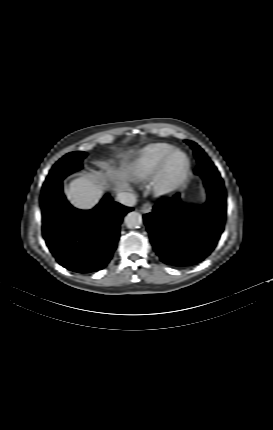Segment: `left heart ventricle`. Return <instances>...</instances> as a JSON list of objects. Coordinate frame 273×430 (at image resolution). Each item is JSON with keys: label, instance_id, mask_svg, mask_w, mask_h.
Masks as SVG:
<instances>
[{"label": "left heart ventricle", "instance_id": "obj_1", "mask_svg": "<svg viewBox=\"0 0 273 430\" xmlns=\"http://www.w3.org/2000/svg\"><path fill=\"white\" fill-rule=\"evenodd\" d=\"M181 165H182V161H181L180 159L176 158V159L174 160V162H173V166H174L176 169H178V168H180V167H181Z\"/></svg>", "mask_w": 273, "mask_h": 430}]
</instances>
